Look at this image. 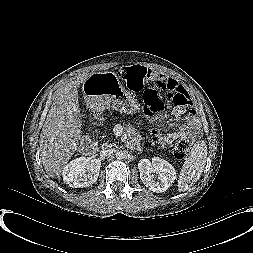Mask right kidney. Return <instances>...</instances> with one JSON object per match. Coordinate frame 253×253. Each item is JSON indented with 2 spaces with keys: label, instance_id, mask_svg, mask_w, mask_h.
Listing matches in <instances>:
<instances>
[{
  "label": "right kidney",
  "instance_id": "right-kidney-1",
  "mask_svg": "<svg viewBox=\"0 0 253 253\" xmlns=\"http://www.w3.org/2000/svg\"><path fill=\"white\" fill-rule=\"evenodd\" d=\"M100 159L84 156L70 161L63 169V181L70 187L84 188L94 184L99 176Z\"/></svg>",
  "mask_w": 253,
  "mask_h": 253
}]
</instances>
